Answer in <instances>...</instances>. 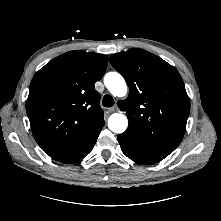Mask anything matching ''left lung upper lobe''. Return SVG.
<instances>
[{"instance_id":"left-lung-upper-lobe-1","label":"left lung upper lobe","mask_w":221,"mask_h":221,"mask_svg":"<svg viewBox=\"0 0 221 221\" xmlns=\"http://www.w3.org/2000/svg\"><path fill=\"white\" fill-rule=\"evenodd\" d=\"M109 61L130 88L128 98L118 103L127 112V131L147 148L169 155L184 136L190 112L179 72L138 48L114 54Z\"/></svg>"}]
</instances>
